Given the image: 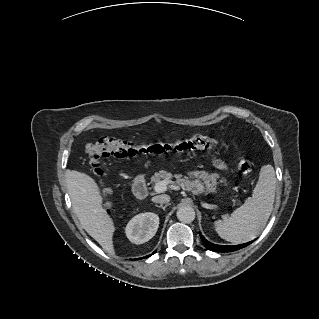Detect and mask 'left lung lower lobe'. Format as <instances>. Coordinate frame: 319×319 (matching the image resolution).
<instances>
[{"mask_svg": "<svg viewBox=\"0 0 319 319\" xmlns=\"http://www.w3.org/2000/svg\"><path fill=\"white\" fill-rule=\"evenodd\" d=\"M200 238L204 244V246L214 252H232V251H236L239 250L243 247H246L247 245L251 244L253 241H250L248 243L245 244H240V245H233V246H223V245H216L213 244L209 241H207L201 234H200Z\"/></svg>", "mask_w": 319, "mask_h": 319, "instance_id": "0a47b994", "label": "left lung lower lobe"}]
</instances>
